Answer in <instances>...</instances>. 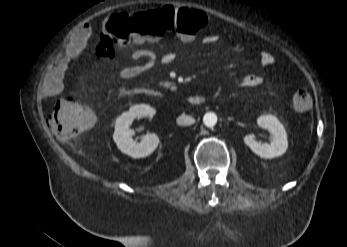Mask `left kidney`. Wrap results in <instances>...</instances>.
<instances>
[{"mask_svg": "<svg viewBox=\"0 0 347 247\" xmlns=\"http://www.w3.org/2000/svg\"><path fill=\"white\" fill-rule=\"evenodd\" d=\"M257 124L271 133V143L257 142L253 135H246L244 143L262 158L271 159L283 155L288 148V141L287 133L280 121L273 115H263L257 119Z\"/></svg>", "mask_w": 347, "mask_h": 247, "instance_id": "obj_1", "label": "left kidney"}]
</instances>
